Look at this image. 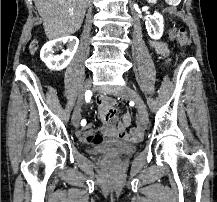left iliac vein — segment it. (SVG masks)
I'll return each mask as SVG.
<instances>
[{
    "label": "left iliac vein",
    "mask_w": 217,
    "mask_h": 202,
    "mask_svg": "<svg viewBox=\"0 0 217 202\" xmlns=\"http://www.w3.org/2000/svg\"><path fill=\"white\" fill-rule=\"evenodd\" d=\"M117 94L121 98L132 99L135 102L136 108L138 109L139 112L140 124L146 127L149 123V117L146 109V104L141 98V96L139 95V93L129 86H124L119 90L118 93H116V95Z\"/></svg>",
    "instance_id": "left-iliac-vein-1"
}]
</instances>
